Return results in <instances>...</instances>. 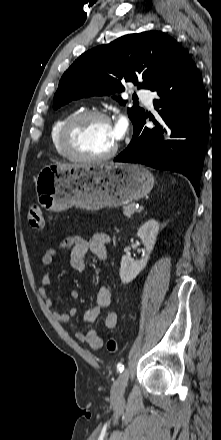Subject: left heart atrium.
Returning a JSON list of instances; mask_svg holds the SVG:
<instances>
[{
    "mask_svg": "<svg viewBox=\"0 0 221 440\" xmlns=\"http://www.w3.org/2000/svg\"><path fill=\"white\" fill-rule=\"evenodd\" d=\"M113 131L116 140L120 139L126 131V121L124 118H120L113 126Z\"/></svg>",
    "mask_w": 221,
    "mask_h": 440,
    "instance_id": "obj_1",
    "label": "left heart atrium"
}]
</instances>
